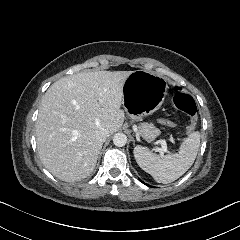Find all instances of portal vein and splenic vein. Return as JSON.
Returning <instances> with one entry per match:
<instances>
[{
	"label": "portal vein and splenic vein",
	"mask_w": 240,
	"mask_h": 240,
	"mask_svg": "<svg viewBox=\"0 0 240 240\" xmlns=\"http://www.w3.org/2000/svg\"><path fill=\"white\" fill-rule=\"evenodd\" d=\"M157 144H160L161 147L158 149V151L163 155L165 153H169L167 142L165 139H160L159 141H156Z\"/></svg>",
	"instance_id": "obj_1"
}]
</instances>
